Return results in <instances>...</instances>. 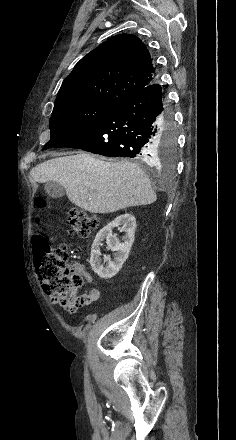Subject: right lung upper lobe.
Returning a JSON list of instances; mask_svg holds the SVG:
<instances>
[{
	"mask_svg": "<svg viewBox=\"0 0 236 440\" xmlns=\"http://www.w3.org/2000/svg\"><path fill=\"white\" fill-rule=\"evenodd\" d=\"M157 81L145 44L120 34L89 52L63 81L55 104L91 100L120 105Z\"/></svg>",
	"mask_w": 236,
	"mask_h": 440,
	"instance_id": "obj_1",
	"label": "right lung upper lobe"
}]
</instances>
